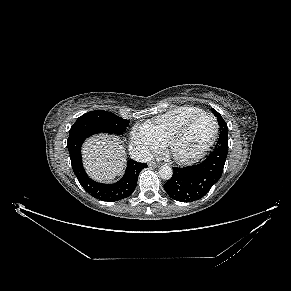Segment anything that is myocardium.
I'll return each instance as SVG.
<instances>
[{"mask_svg":"<svg viewBox=\"0 0 291 291\" xmlns=\"http://www.w3.org/2000/svg\"><path fill=\"white\" fill-rule=\"evenodd\" d=\"M204 116H208L210 118L213 119L214 121V133L210 139V141L208 142V144L197 154L189 156V157H182L179 156L175 153L174 151V146L175 144L182 138V136L186 133V131L188 130V128L199 118L204 117ZM218 133H219V124L217 121V118L208 112H202L199 113L193 117H191L190 119H188L186 122H184L176 131H174L166 140V142L164 143V148L166 150V152L171 156V158L182 165H188V164H192L200 159H202L213 147V145L215 144L217 137H218Z\"/></svg>","mask_w":291,"mask_h":291,"instance_id":"obj_1","label":"myocardium"}]
</instances>
